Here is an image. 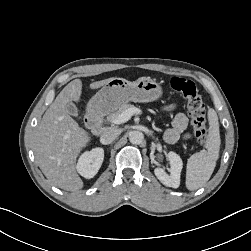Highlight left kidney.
Masks as SVG:
<instances>
[{"instance_id":"1","label":"left kidney","mask_w":251,"mask_h":251,"mask_svg":"<svg viewBox=\"0 0 251 251\" xmlns=\"http://www.w3.org/2000/svg\"><path fill=\"white\" fill-rule=\"evenodd\" d=\"M167 157L170 161V174H167L162 168H155L154 173L160 182L165 186L178 188L180 185V175L183 168L182 159L175 152H169Z\"/></svg>"}]
</instances>
